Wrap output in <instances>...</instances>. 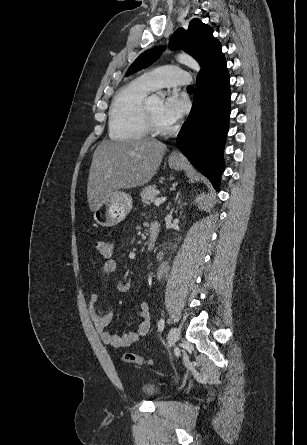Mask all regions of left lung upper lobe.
<instances>
[{
	"label": "left lung upper lobe",
	"instance_id": "5c2ea615",
	"mask_svg": "<svg viewBox=\"0 0 307 445\" xmlns=\"http://www.w3.org/2000/svg\"><path fill=\"white\" fill-rule=\"evenodd\" d=\"M170 46L172 49L182 48L193 56L200 63L201 72L224 56L220 42L213 36L212 28L199 19H193L187 31L178 29L171 38ZM162 50V47H155L143 52L129 67L126 76L149 66Z\"/></svg>",
	"mask_w": 307,
	"mask_h": 445
}]
</instances>
